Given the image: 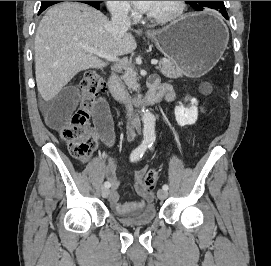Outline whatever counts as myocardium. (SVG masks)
Segmentation results:
<instances>
[{"instance_id":"1","label":"myocardium","mask_w":271,"mask_h":266,"mask_svg":"<svg viewBox=\"0 0 271 266\" xmlns=\"http://www.w3.org/2000/svg\"><path fill=\"white\" fill-rule=\"evenodd\" d=\"M186 9L185 1H175V7L172 11L166 14L155 15L147 13V18L157 23H169L179 19Z\"/></svg>"}]
</instances>
